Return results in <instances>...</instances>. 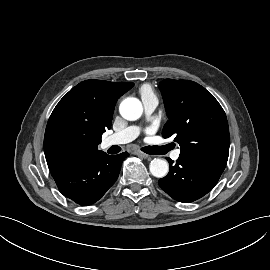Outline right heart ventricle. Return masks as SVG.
Wrapping results in <instances>:
<instances>
[{"mask_svg": "<svg viewBox=\"0 0 270 270\" xmlns=\"http://www.w3.org/2000/svg\"><path fill=\"white\" fill-rule=\"evenodd\" d=\"M139 93L141 95V98L155 96L151 86L148 84L142 85L139 89Z\"/></svg>", "mask_w": 270, "mask_h": 270, "instance_id": "e07e8e85", "label": "right heart ventricle"}]
</instances>
